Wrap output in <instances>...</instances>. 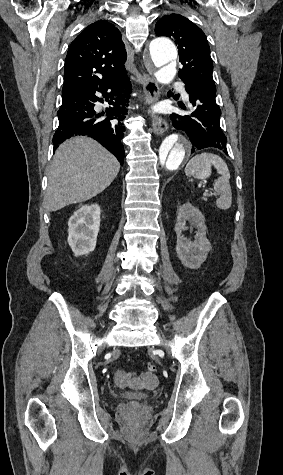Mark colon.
Masks as SVG:
<instances>
[{
	"label": "colon",
	"mask_w": 283,
	"mask_h": 475,
	"mask_svg": "<svg viewBox=\"0 0 283 475\" xmlns=\"http://www.w3.org/2000/svg\"><path fill=\"white\" fill-rule=\"evenodd\" d=\"M147 368H148V372L150 374H152V373L157 371V364L156 363H148Z\"/></svg>",
	"instance_id": "1"
}]
</instances>
